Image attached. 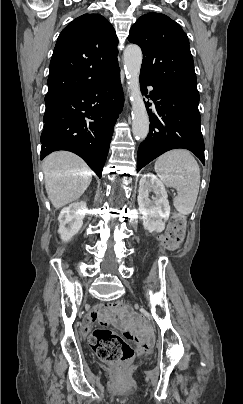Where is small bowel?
<instances>
[{"mask_svg": "<svg viewBox=\"0 0 243 404\" xmlns=\"http://www.w3.org/2000/svg\"><path fill=\"white\" fill-rule=\"evenodd\" d=\"M98 319V313L97 311H93L90 313L86 319L84 320L83 324V331L84 333H88L90 331L91 325Z\"/></svg>", "mask_w": 243, "mask_h": 404, "instance_id": "1", "label": "small bowel"}]
</instances>
